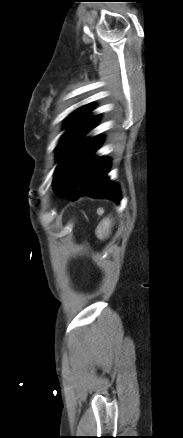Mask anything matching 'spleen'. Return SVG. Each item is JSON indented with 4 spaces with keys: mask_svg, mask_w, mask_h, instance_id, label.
<instances>
[{
    "mask_svg": "<svg viewBox=\"0 0 183 438\" xmlns=\"http://www.w3.org/2000/svg\"><path fill=\"white\" fill-rule=\"evenodd\" d=\"M112 222L110 217L103 218L98 224L95 234L99 240H105L111 233Z\"/></svg>",
    "mask_w": 183,
    "mask_h": 438,
    "instance_id": "obj_1",
    "label": "spleen"
}]
</instances>
